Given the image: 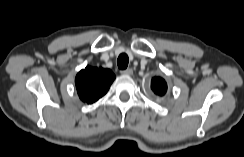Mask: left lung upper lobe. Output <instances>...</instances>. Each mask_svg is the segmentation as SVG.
<instances>
[{
    "label": "left lung upper lobe",
    "instance_id": "left-lung-upper-lobe-1",
    "mask_svg": "<svg viewBox=\"0 0 244 157\" xmlns=\"http://www.w3.org/2000/svg\"><path fill=\"white\" fill-rule=\"evenodd\" d=\"M151 89L157 95H164L167 91V84L161 77H154L151 81Z\"/></svg>",
    "mask_w": 244,
    "mask_h": 157
}]
</instances>
